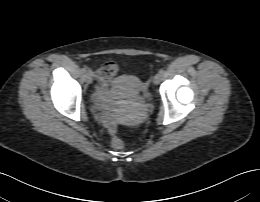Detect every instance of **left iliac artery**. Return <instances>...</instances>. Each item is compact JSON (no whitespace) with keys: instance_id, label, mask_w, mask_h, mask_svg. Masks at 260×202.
I'll list each match as a JSON object with an SVG mask.
<instances>
[{"instance_id":"44dca946","label":"left iliac artery","mask_w":260,"mask_h":202,"mask_svg":"<svg viewBox=\"0 0 260 202\" xmlns=\"http://www.w3.org/2000/svg\"><path fill=\"white\" fill-rule=\"evenodd\" d=\"M159 73H160L161 75H163V74L165 73V71H164L163 69H160Z\"/></svg>"}]
</instances>
